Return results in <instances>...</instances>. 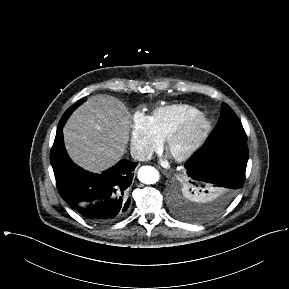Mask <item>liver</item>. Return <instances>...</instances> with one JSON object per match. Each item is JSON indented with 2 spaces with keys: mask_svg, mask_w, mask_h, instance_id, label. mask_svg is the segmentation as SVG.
Instances as JSON below:
<instances>
[{
  "mask_svg": "<svg viewBox=\"0 0 289 289\" xmlns=\"http://www.w3.org/2000/svg\"><path fill=\"white\" fill-rule=\"evenodd\" d=\"M130 127L131 115L120 100L92 96L67 120L63 128L65 148L77 165L99 173L122 158Z\"/></svg>",
  "mask_w": 289,
  "mask_h": 289,
  "instance_id": "6515ba94",
  "label": "liver"
}]
</instances>
